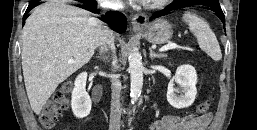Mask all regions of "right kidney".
Masks as SVG:
<instances>
[{
	"label": "right kidney",
	"mask_w": 257,
	"mask_h": 130,
	"mask_svg": "<svg viewBox=\"0 0 257 130\" xmlns=\"http://www.w3.org/2000/svg\"><path fill=\"white\" fill-rule=\"evenodd\" d=\"M87 73L79 74L75 80V86L72 91L71 107L74 116L79 119L85 118L91 111V98L86 91Z\"/></svg>",
	"instance_id": "right-kidney-1"
}]
</instances>
